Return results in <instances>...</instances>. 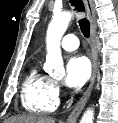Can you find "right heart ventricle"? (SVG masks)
Returning <instances> with one entry per match:
<instances>
[{
  "instance_id": "1",
  "label": "right heart ventricle",
  "mask_w": 118,
  "mask_h": 123,
  "mask_svg": "<svg viewBox=\"0 0 118 123\" xmlns=\"http://www.w3.org/2000/svg\"><path fill=\"white\" fill-rule=\"evenodd\" d=\"M22 106L29 112L47 114L58 106L53 80L36 66L26 75L21 89Z\"/></svg>"
}]
</instances>
